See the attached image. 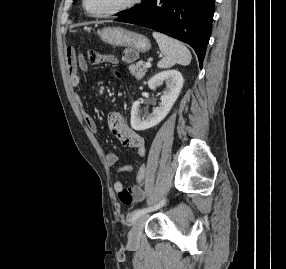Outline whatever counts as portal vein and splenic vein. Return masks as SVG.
<instances>
[{"label":"portal vein and splenic vein","instance_id":"portal-vein-and-splenic-vein-1","mask_svg":"<svg viewBox=\"0 0 286 269\" xmlns=\"http://www.w3.org/2000/svg\"><path fill=\"white\" fill-rule=\"evenodd\" d=\"M145 66H146L147 68H150V67H151V63H150V62H146V63H145Z\"/></svg>","mask_w":286,"mask_h":269}]
</instances>
